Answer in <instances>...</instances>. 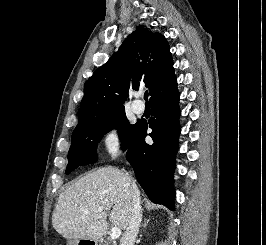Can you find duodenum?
I'll list each match as a JSON object with an SVG mask.
<instances>
[{"mask_svg": "<svg viewBox=\"0 0 266 245\" xmlns=\"http://www.w3.org/2000/svg\"><path fill=\"white\" fill-rule=\"evenodd\" d=\"M77 245H103L102 237H76Z\"/></svg>", "mask_w": 266, "mask_h": 245, "instance_id": "obj_1", "label": "duodenum"}]
</instances>
